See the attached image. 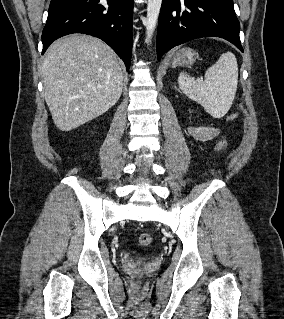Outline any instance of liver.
<instances>
[{"mask_svg":"<svg viewBox=\"0 0 284 319\" xmlns=\"http://www.w3.org/2000/svg\"><path fill=\"white\" fill-rule=\"evenodd\" d=\"M42 73L45 101L61 131L102 115L122 93L118 56L90 35L72 34L55 41L47 51Z\"/></svg>","mask_w":284,"mask_h":319,"instance_id":"liver-1","label":"liver"}]
</instances>
